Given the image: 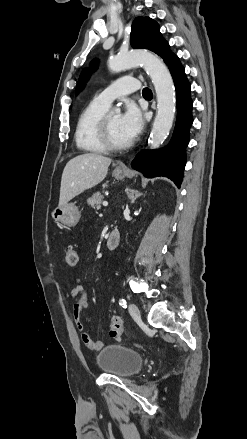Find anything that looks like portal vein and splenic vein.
<instances>
[{
    "label": "portal vein and splenic vein",
    "mask_w": 247,
    "mask_h": 439,
    "mask_svg": "<svg viewBox=\"0 0 247 439\" xmlns=\"http://www.w3.org/2000/svg\"><path fill=\"white\" fill-rule=\"evenodd\" d=\"M103 206H108V202L104 201Z\"/></svg>",
    "instance_id": "obj_1"
}]
</instances>
